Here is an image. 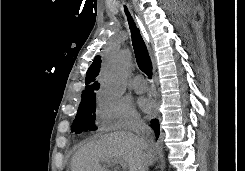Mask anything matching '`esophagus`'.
Returning <instances> with one entry per match:
<instances>
[{
	"label": "esophagus",
	"mask_w": 245,
	"mask_h": 171,
	"mask_svg": "<svg viewBox=\"0 0 245 171\" xmlns=\"http://www.w3.org/2000/svg\"><path fill=\"white\" fill-rule=\"evenodd\" d=\"M127 8L129 10L130 14H132V11H131L129 5H127ZM145 41H146L148 52H149V55H150V58H151L153 72L156 73V69H157L156 57L154 55V51H153L152 45H151V43L149 41V38L147 36H145Z\"/></svg>",
	"instance_id": "1"
}]
</instances>
